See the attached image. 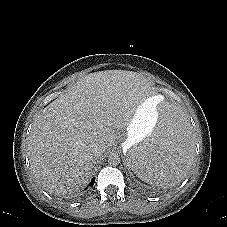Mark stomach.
Returning a JSON list of instances; mask_svg holds the SVG:
<instances>
[{
	"instance_id": "stomach-1",
	"label": "stomach",
	"mask_w": 227,
	"mask_h": 227,
	"mask_svg": "<svg viewBox=\"0 0 227 227\" xmlns=\"http://www.w3.org/2000/svg\"><path fill=\"white\" fill-rule=\"evenodd\" d=\"M159 96H149L143 99L138 105L128 126L126 127V139L123 143L124 151L128 144L143 139L146 132L157 121V112L154 109V102Z\"/></svg>"
}]
</instances>
